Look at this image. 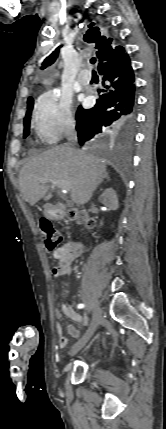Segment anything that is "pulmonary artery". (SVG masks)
Here are the masks:
<instances>
[{
    "label": "pulmonary artery",
    "instance_id": "obj_1",
    "mask_svg": "<svg viewBox=\"0 0 166 429\" xmlns=\"http://www.w3.org/2000/svg\"><path fill=\"white\" fill-rule=\"evenodd\" d=\"M83 73H85V74H88L89 75V70L88 69H84L83 70ZM78 81H79V83L81 84V85H83V86H85V85H87L88 83H89V77H79L78 78Z\"/></svg>",
    "mask_w": 166,
    "mask_h": 429
}]
</instances>
